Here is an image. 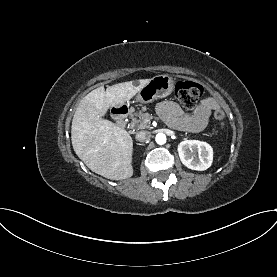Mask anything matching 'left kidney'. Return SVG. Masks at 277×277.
I'll return each instance as SVG.
<instances>
[{
    "instance_id": "obj_1",
    "label": "left kidney",
    "mask_w": 277,
    "mask_h": 277,
    "mask_svg": "<svg viewBox=\"0 0 277 277\" xmlns=\"http://www.w3.org/2000/svg\"><path fill=\"white\" fill-rule=\"evenodd\" d=\"M178 154L181 162L192 170L204 171L213 161V149L199 140H185L178 145Z\"/></svg>"
}]
</instances>
